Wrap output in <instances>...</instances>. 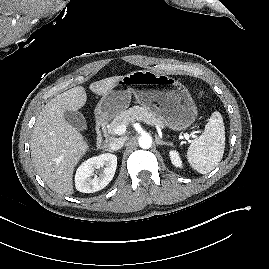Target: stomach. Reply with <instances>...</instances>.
I'll return each mask as SVG.
<instances>
[{
  "mask_svg": "<svg viewBox=\"0 0 269 269\" xmlns=\"http://www.w3.org/2000/svg\"><path fill=\"white\" fill-rule=\"evenodd\" d=\"M132 94L138 104L173 131L187 129L197 118V107L189 91L174 78L149 70L122 76L97 104L96 118L104 121L119 115L129 106Z\"/></svg>",
  "mask_w": 269,
  "mask_h": 269,
  "instance_id": "0dacf381",
  "label": "stomach"
}]
</instances>
